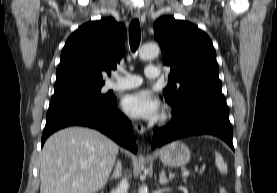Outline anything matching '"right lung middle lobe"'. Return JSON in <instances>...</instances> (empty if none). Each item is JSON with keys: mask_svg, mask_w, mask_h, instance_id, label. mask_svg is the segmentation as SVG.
Wrapping results in <instances>:
<instances>
[{"mask_svg": "<svg viewBox=\"0 0 277 193\" xmlns=\"http://www.w3.org/2000/svg\"><path fill=\"white\" fill-rule=\"evenodd\" d=\"M101 87L102 86H98V87H92V88H86V89H80V90H76L73 92L76 93H84V94H91V95H96V96H100V97H110L111 95L107 94V95H101Z\"/></svg>", "mask_w": 277, "mask_h": 193, "instance_id": "1", "label": "right lung middle lobe"}]
</instances>
